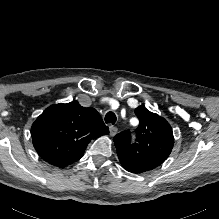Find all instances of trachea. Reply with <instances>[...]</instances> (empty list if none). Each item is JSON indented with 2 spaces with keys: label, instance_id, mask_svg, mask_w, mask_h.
Returning <instances> with one entry per match:
<instances>
[{
  "label": "trachea",
  "instance_id": "trachea-1",
  "mask_svg": "<svg viewBox=\"0 0 219 219\" xmlns=\"http://www.w3.org/2000/svg\"><path fill=\"white\" fill-rule=\"evenodd\" d=\"M116 120H117L116 115L113 112H108L105 115V123H111L114 125Z\"/></svg>",
  "mask_w": 219,
  "mask_h": 219
}]
</instances>
